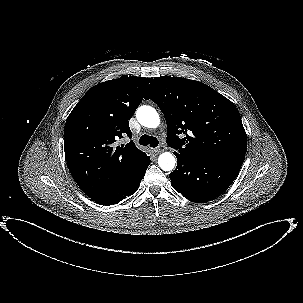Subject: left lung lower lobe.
<instances>
[{
  "label": "left lung lower lobe",
  "mask_w": 303,
  "mask_h": 303,
  "mask_svg": "<svg viewBox=\"0 0 303 303\" xmlns=\"http://www.w3.org/2000/svg\"><path fill=\"white\" fill-rule=\"evenodd\" d=\"M177 167L169 174L173 188L192 202L205 203L220 196L236 178L241 164L203 161L176 152Z\"/></svg>",
  "instance_id": "obj_1"
}]
</instances>
